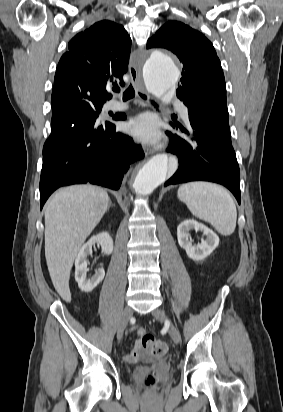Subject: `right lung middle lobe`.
<instances>
[{
	"mask_svg": "<svg viewBox=\"0 0 283 412\" xmlns=\"http://www.w3.org/2000/svg\"><path fill=\"white\" fill-rule=\"evenodd\" d=\"M102 106L103 103H94L85 100L80 101L72 105L64 112L54 115L52 114L51 126L72 124L79 117L87 113H92L98 116V114L101 112Z\"/></svg>",
	"mask_w": 283,
	"mask_h": 412,
	"instance_id": "obj_1",
	"label": "right lung middle lobe"
}]
</instances>
